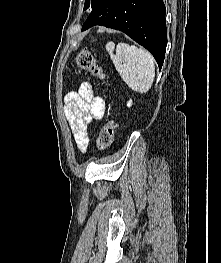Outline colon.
I'll return each mask as SVG.
<instances>
[{"label": "colon", "instance_id": "obj_1", "mask_svg": "<svg viewBox=\"0 0 221 263\" xmlns=\"http://www.w3.org/2000/svg\"><path fill=\"white\" fill-rule=\"evenodd\" d=\"M75 60L77 65L81 69L90 72L93 76H95L98 79L104 78L103 70L99 65L98 61L96 60L94 54L90 50H81L77 54ZM115 130L116 124L113 120H109L103 125L97 139V147L100 150L108 148L113 143L115 139Z\"/></svg>", "mask_w": 221, "mask_h": 263}]
</instances>
